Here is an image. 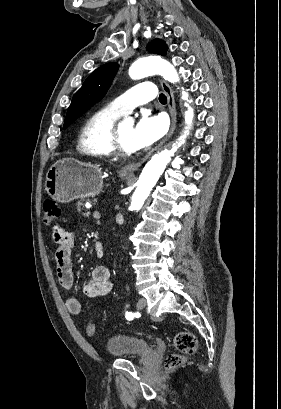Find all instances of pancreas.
I'll list each match as a JSON object with an SVG mask.
<instances>
[{
    "mask_svg": "<svg viewBox=\"0 0 281 409\" xmlns=\"http://www.w3.org/2000/svg\"><path fill=\"white\" fill-rule=\"evenodd\" d=\"M81 205H83V202H81V200H78V207H81Z\"/></svg>",
    "mask_w": 281,
    "mask_h": 409,
    "instance_id": "1",
    "label": "pancreas"
}]
</instances>
